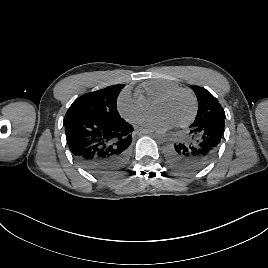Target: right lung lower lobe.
I'll use <instances>...</instances> for the list:
<instances>
[{
	"label": "right lung lower lobe",
	"instance_id": "obj_1",
	"mask_svg": "<svg viewBox=\"0 0 268 268\" xmlns=\"http://www.w3.org/2000/svg\"><path fill=\"white\" fill-rule=\"evenodd\" d=\"M63 125L74 159L90 173L108 175L126 162L134 129L123 118L78 116Z\"/></svg>",
	"mask_w": 268,
	"mask_h": 268
}]
</instances>
